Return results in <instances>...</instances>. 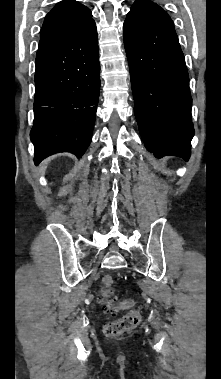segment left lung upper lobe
<instances>
[{
  "mask_svg": "<svg viewBox=\"0 0 221 379\" xmlns=\"http://www.w3.org/2000/svg\"><path fill=\"white\" fill-rule=\"evenodd\" d=\"M140 1L150 2V3H152V4L156 5V6H158L157 4H155L154 2H152V1H150V0H140ZM159 7H160V6H159Z\"/></svg>",
  "mask_w": 221,
  "mask_h": 379,
  "instance_id": "left-lung-upper-lobe-1",
  "label": "left lung upper lobe"
}]
</instances>
